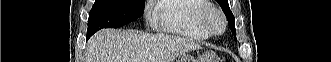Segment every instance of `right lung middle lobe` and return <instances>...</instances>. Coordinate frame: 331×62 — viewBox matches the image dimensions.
<instances>
[{"mask_svg": "<svg viewBox=\"0 0 331 62\" xmlns=\"http://www.w3.org/2000/svg\"><path fill=\"white\" fill-rule=\"evenodd\" d=\"M143 0H96L89 13L87 38L102 28H117L143 14Z\"/></svg>", "mask_w": 331, "mask_h": 62, "instance_id": "dd1d6c3e", "label": "right lung middle lobe"}]
</instances>
